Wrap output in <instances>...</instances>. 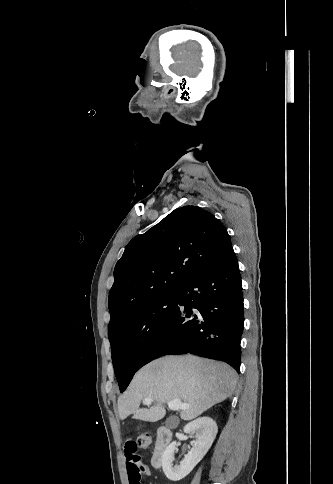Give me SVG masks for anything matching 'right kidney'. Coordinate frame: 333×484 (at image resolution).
Listing matches in <instances>:
<instances>
[{
  "label": "right kidney",
  "instance_id": "right-kidney-1",
  "mask_svg": "<svg viewBox=\"0 0 333 484\" xmlns=\"http://www.w3.org/2000/svg\"><path fill=\"white\" fill-rule=\"evenodd\" d=\"M184 432L189 434L190 437L195 434V441L180 464L173 465L174 452L177 447L176 441H173L166 448L162 456L163 472L171 481H179L186 477L203 459L216 437L218 427L212 418L202 417L188 423L184 427Z\"/></svg>",
  "mask_w": 333,
  "mask_h": 484
}]
</instances>
